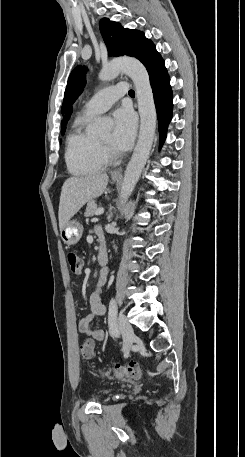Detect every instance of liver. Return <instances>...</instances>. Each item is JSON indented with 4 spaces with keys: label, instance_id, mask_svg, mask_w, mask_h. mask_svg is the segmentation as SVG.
<instances>
[{
    "label": "liver",
    "instance_id": "liver-1",
    "mask_svg": "<svg viewBox=\"0 0 245 457\" xmlns=\"http://www.w3.org/2000/svg\"><path fill=\"white\" fill-rule=\"evenodd\" d=\"M106 172H92L84 176H70L65 180L60 196L58 210L59 229L78 212L79 208L92 198L100 196L108 184Z\"/></svg>",
    "mask_w": 245,
    "mask_h": 457
}]
</instances>
